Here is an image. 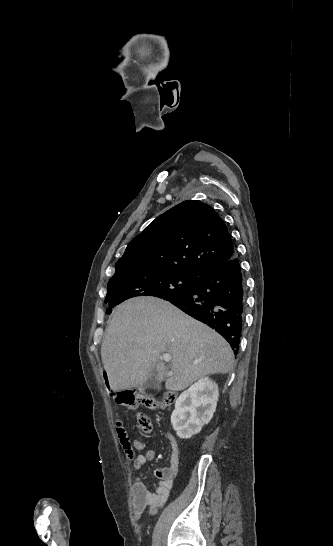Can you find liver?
Returning a JSON list of instances; mask_svg holds the SVG:
<instances>
[{"label":"liver","mask_w":333,"mask_h":546,"mask_svg":"<svg viewBox=\"0 0 333 546\" xmlns=\"http://www.w3.org/2000/svg\"><path fill=\"white\" fill-rule=\"evenodd\" d=\"M162 354L171 356L169 366ZM101 357L114 392L141 386L154 370L158 381L167 378L166 388L183 390L206 375L230 372L234 362L223 337L153 297L128 299L114 309Z\"/></svg>","instance_id":"1"}]
</instances>
